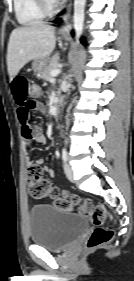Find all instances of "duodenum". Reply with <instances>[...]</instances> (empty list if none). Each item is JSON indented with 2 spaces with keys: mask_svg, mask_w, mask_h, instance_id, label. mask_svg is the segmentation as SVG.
Wrapping results in <instances>:
<instances>
[{
  "mask_svg": "<svg viewBox=\"0 0 134 281\" xmlns=\"http://www.w3.org/2000/svg\"><path fill=\"white\" fill-rule=\"evenodd\" d=\"M59 112H60V102L57 101L54 105V115H55V117L58 116Z\"/></svg>",
  "mask_w": 134,
  "mask_h": 281,
  "instance_id": "1",
  "label": "duodenum"
}]
</instances>
